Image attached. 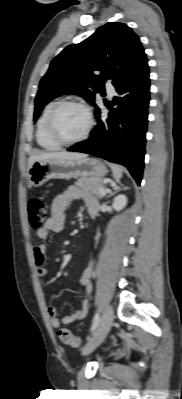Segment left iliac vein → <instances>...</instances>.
<instances>
[{"instance_id":"1","label":"left iliac vein","mask_w":182,"mask_h":399,"mask_svg":"<svg viewBox=\"0 0 182 399\" xmlns=\"http://www.w3.org/2000/svg\"><path fill=\"white\" fill-rule=\"evenodd\" d=\"M114 319V312L111 305L106 307L99 327L89 339L87 344L82 349L83 355L91 353L97 346H99L109 333Z\"/></svg>"}]
</instances>
